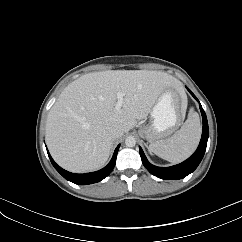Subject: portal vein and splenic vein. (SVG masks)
<instances>
[{
	"label": "portal vein and splenic vein",
	"instance_id": "1",
	"mask_svg": "<svg viewBox=\"0 0 242 242\" xmlns=\"http://www.w3.org/2000/svg\"><path fill=\"white\" fill-rule=\"evenodd\" d=\"M116 97H117V102H116V105H115V109L120 110L122 105H123L124 94L122 92H118L116 94Z\"/></svg>",
	"mask_w": 242,
	"mask_h": 242
}]
</instances>
